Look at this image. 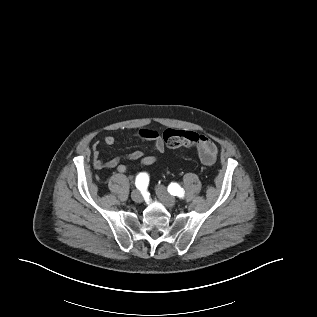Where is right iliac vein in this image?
<instances>
[{
	"label": "right iliac vein",
	"instance_id": "63e3f726",
	"mask_svg": "<svg viewBox=\"0 0 317 317\" xmlns=\"http://www.w3.org/2000/svg\"><path fill=\"white\" fill-rule=\"evenodd\" d=\"M131 198L136 203H141L143 201V197L138 190H134L131 194Z\"/></svg>",
	"mask_w": 317,
	"mask_h": 317
}]
</instances>
